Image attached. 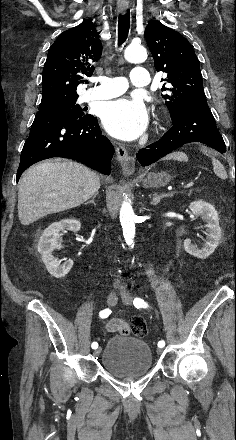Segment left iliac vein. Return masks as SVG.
Listing matches in <instances>:
<instances>
[{"mask_svg": "<svg viewBox=\"0 0 236 440\" xmlns=\"http://www.w3.org/2000/svg\"><path fill=\"white\" fill-rule=\"evenodd\" d=\"M132 301H133V298H132V296L129 294V293H124V294H122V302L125 304V305H131L132 304ZM162 349L161 348H158L157 349V353L158 354H161L162 353Z\"/></svg>", "mask_w": 236, "mask_h": 440, "instance_id": "obj_1", "label": "left iliac vein"}]
</instances>
